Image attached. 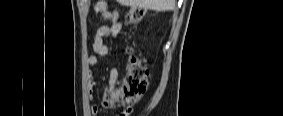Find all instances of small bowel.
<instances>
[{"label": "small bowel", "instance_id": "c3829d8e", "mask_svg": "<svg viewBox=\"0 0 283 116\" xmlns=\"http://www.w3.org/2000/svg\"><path fill=\"white\" fill-rule=\"evenodd\" d=\"M94 10L99 14V16L107 21H110V25H101L94 36L93 40V54L88 56L87 63L90 66H97L100 64L101 59L109 53V44L105 41V39H116L122 29V22L120 19V15L118 11L114 9H110L106 2L97 1L94 4ZM92 76V74H91ZM119 80V71L117 68H111L108 75V88L111 91L116 89V85ZM96 81L94 79L91 80L89 94L90 97L93 95V88L96 86ZM90 112L92 115H97L98 106L91 105ZM126 112H123L122 115L125 116Z\"/></svg>", "mask_w": 283, "mask_h": 116}]
</instances>
